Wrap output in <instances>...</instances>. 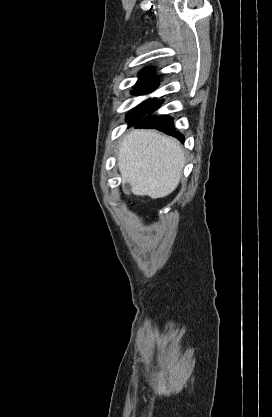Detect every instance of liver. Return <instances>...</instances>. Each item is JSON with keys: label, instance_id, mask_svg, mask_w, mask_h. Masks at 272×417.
<instances>
[{"label": "liver", "instance_id": "6515ba94", "mask_svg": "<svg viewBox=\"0 0 272 417\" xmlns=\"http://www.w3.org/2000/svg\"><path fill=\"white\" fill-rule=\"evenodd\" d=\"M123 182L136 195L163 198L179 184L185 164L180 143L157 131L136 129L124 136L117 153Z\"/></svg>", "mask_w": 272, "mask_h": 417}]
</instances>
